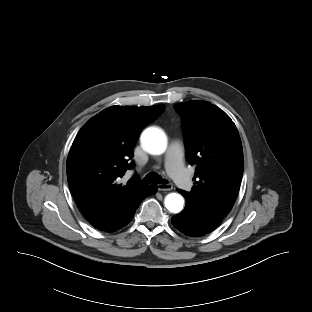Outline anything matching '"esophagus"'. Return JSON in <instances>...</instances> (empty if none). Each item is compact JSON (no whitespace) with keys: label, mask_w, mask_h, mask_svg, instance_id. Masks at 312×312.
Returning a JSON list of instances; mask_svg holds the SVG:
<instances>
[{"label":"esophagus","mask_w":312,"mask_h":312,"mask_svg":"<svg viewBox=\"0 0 312 312\" xmlns=\"http://www.w3.org/2000/svg\"><path fill=\"white\" fill-rule=\"evenodd\" d=\"M157 189L159 191H170L173 189L172 184L168 183V184H158L157 185Z\"/></svg>","instance_id":"1"}]
</instances>
